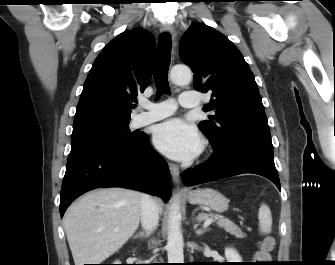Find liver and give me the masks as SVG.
Instances as JSON below:
<instances>
[{
  "label": "liver",
  "instance_id": "liver-1",
  "mask_svg": "<svg viewBox=\"0 0 335 265\" xmlns=\"http://www.w3.org/2000/svg\"><path fill=\"white\" fill-rule=\"evenodd\" d=\"M141 198L136 191L104 188L69 207L64 228L75 265L100 264L131 238L139 226ZM156 205L160 212L161 201Z\"/></svg>",
  "mask_w": 335,
  "mask_h": 265
}]
</instances>
